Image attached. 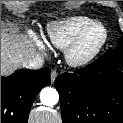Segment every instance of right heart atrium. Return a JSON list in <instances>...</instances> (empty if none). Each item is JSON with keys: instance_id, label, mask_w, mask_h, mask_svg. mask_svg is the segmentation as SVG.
Wrapping results in <instances>:
<instances>
[{"instance_id": "d8ad5b80", "label": "right heart atrium", "mask_w": 123, "mask_h": 123, "mask_svg": "<svg viewBox=\"0 0 123 123\" xmlns=\"http://www.w3.org/2000/svg\"><path fill=\"white\" fill-rule=\"evenodd\" d=\"M29 37L41 51L44 52L47 50V45L45 41L41 39L39 35H37L35 32H30Z\"/></svg>"}]
</instances>
